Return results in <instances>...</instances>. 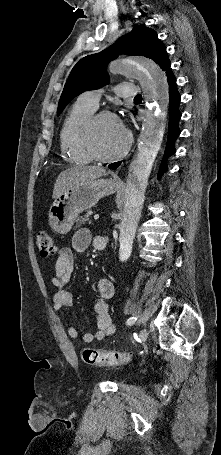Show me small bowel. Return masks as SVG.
I'll return each mask as SVG.
<instances>
[{
  "instance_id": "1",
  "label": "small bowel",
  "mask_w": 221,
  "mask_h": 455,
  "mask_svg": "<svg viewBox=\"0 0 221 455\" xmlns=\"http://www.w3.org/2000/svg\"><path fill=\"white\" fill-rule=\"evenodd\" d=\"M100 236H92L87 229H79L72 237V247H61L57 251L54 274L50 275V281L55 289L53 295V308L59 311L61 308L73 304V294L65 289L69 283L74 269V252L84 251L90 244L95 247V241ZM97 298L94 301L97 330L83 335V343L90 344L93 341L104 340L111 336L115 330L109 313L108 300L114 295V285L108 279H99L95 284ZM67 333L72 339L78 338V331L69 326Z\"/></svg>"
}]
</instances>
